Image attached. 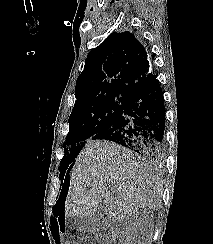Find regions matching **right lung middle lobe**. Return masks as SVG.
<instances>
[{
	"mask_svg": "<svg viewBox=\"0 0 213 244\" xmlns=\"http://www.w3.org/2000/svg\"><path fill=\"white\" fill-rule=\"evenodd\" d=\"M129 100L127 96L109 95L73 108L68 120L69 133L63 145L66 155L59 167L61 180L84 144L95 135L110 129L123 113Z\"/></svg>",
	"mask_w": 213,
	"mask_h": 244,
	"instance_id": "obj_1",
	"label": "right lung middle lobe"
}]
</instances>
